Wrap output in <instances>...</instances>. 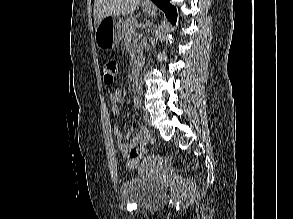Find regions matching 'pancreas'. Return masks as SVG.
<instances>
[{"instance_id": "cf45deb5", "label": "pancreas", "mask_w": 293, "mask_h": 219, "mask_svg": "<svg viewBox=\"0 0 293 219\" xmlns=\"http://www.w3.org/2000/svg\"><path fill=\"white\" fill-rule=\"evenodd\" d=\"M135 17H130L123 23V37L129 38L135 33Z\"/></svg>"}]
</instances>
